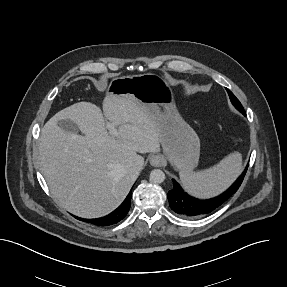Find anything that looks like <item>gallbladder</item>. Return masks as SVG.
<instances>
[{"instance_id":"obj_1","label":"gallbladder","mask_w":287,"mask_h":287,"mask_svg":"<svg viewBox=\"0 0 287 287\" xmlns=\"http://www.w3.org/2000/svg\"><path fill=\"white\" fill-rule=\"evenodd\" d=\"M58 126L61 127L66 132L75 134L79 132L78 126L71 120H61L58 122Z\"/></svg>"}]
</instances>
